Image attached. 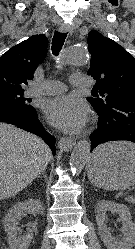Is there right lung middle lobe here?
<instances>
[{"label": "right lung middle lobe", "instance_id": "1", "mask_svg": "<svg viewBox=\"0 0 135 249\" xmlns=\"http://www.w3.org/2000/svg\"><path fill=\"white\" fill-rule=\"evenodd\" d=\"M24 91H0V100L17 103L25 108H32L29 99L23 97Z\"/></svg>", "mask_w": 135, "mask_h": 249}]
</instances>
